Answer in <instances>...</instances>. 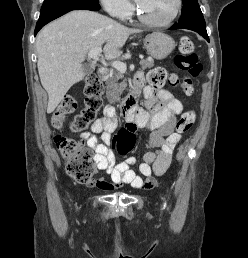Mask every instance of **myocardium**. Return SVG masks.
<instances>
[{
    "label": "myocardium",
    "mask_w": 248,
    "mask_h": 258,
    "mask_svg": "<svg viewBox=\"0 0 248 258\" xmlns=\"http://www.w3.org/2000/svg\"><path fill=\"white\" fill-rule=\"evenodd\" d=\"M182 5H183L182 0H176L175 12L168 20L163 21V22H156V21H152V20L146 18L144 16V14L141 12V10L139 9L137 4L135 5V12H136V16H137L138 20L140 22H142L143 24H145L149 27L161 28V27H167V26L171 25L177 19V17L181 13Z\"/></svg>",
    "instance_id": "obj_1"
}]
</instances>
